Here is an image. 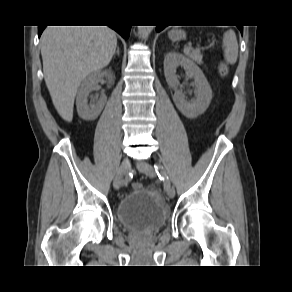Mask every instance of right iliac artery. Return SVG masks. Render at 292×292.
Returning a JSON list of instances; mask_svg holds the SVG:
<instances>
[{
  "instance_id": "82829eb1",
  "label": "right iliac artery",
  "mask_w": 292,
  "mask_h": 292,
  "mask_svg": "<svg viewBox=\"0 0 292 292\" xmlns=\"http://www.w3.org/2000/svg\"><path fill=\"white\" fill-rule=\"evenodd\" d=\"M133 177L131 174H128L127 176H124V182L128 183L129 181H132Z\"/></svg>"
}]
</instances>
